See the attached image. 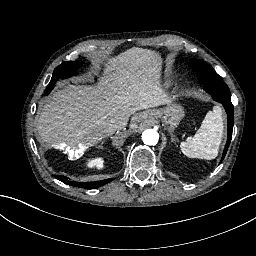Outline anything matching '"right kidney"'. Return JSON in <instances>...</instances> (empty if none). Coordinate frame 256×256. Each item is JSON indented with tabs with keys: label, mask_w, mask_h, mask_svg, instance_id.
<instances>
[{
	"label": "right kidney",
	"mask_w": 256,
	"mask_h": 256,
	"mask_svg": "<svg viewBox=\"0 0 256 256\" xmlns=\"http://www.w3.org/2000/svg\"><path fill=\"white\" fill-rule=\"evenodd\" d=\"M86 165L88 168L102 169L104 167V159L101 157L89 159Z\"/></svg>",
	"instance_id": "right-kidney-1"
}]
</instances>
